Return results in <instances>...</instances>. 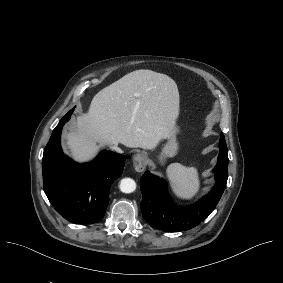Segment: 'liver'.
<instances>
[{"label": "liver", "mask_w": 283, "mask_h": 283, "mask_svg": "<svg viewBox=\"0 0 283 283\" xmlns=\"http://www.w3.org/2000/svg\"><path fill=\"white\" fill-rule=\"evenodd\" d=\"M178 115L175 81L152 70H136L94 96L66 143L79 162L92 159L103 145L154 149L162 139L175 140Z\"/></svg>", "instance_id": "obj_1"}]
</instances>
